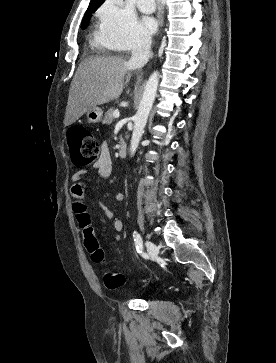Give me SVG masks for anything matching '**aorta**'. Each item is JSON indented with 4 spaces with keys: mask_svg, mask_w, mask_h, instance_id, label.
Wrapping results in <instances>:
<instances>
[{
    "mask_svg": "<svg viewBox=\"0 0 276 363\" xmlns=\"http://www.w3.org/2000/svg\"><path fill=\"white\" fill-rule=\"evenodd\" d=\"M159 83V72L154 71L151 76L149 77L148 81L146 82L144 93L142 99L139 104L138 111L135 116L134 120V129L131 138V145H130V153L131 156L134 155L136 152L141 137L143 135V131L154 103L157 88Z\"/></svg>",
    "mask_w": 276,
    "mask_h": 363,
    "instance_id": "762f6f07",
    "label": "aorta"
}]
</instances>
